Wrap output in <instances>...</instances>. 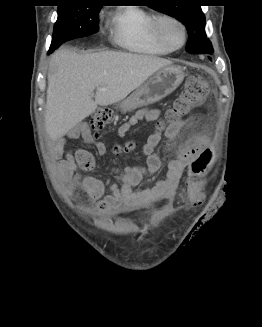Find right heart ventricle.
<instances>
[{"mask_svg": "<svg viewBox=\"0 0 262 327\" xmlns=\"http://www.w3.org/2000/svg\"><path fill=\"white\" fill-rule=\"evenodd\" d=\"M156 15L137 7H125L111 20L112 38L116 45L130 52L167 55L171 52L155 36Z\"/></svg>", "mask_w": 262, "mask_h": 327, "instance_id": "obj_1", "label": "right heart ventricle"}]
</instances>
